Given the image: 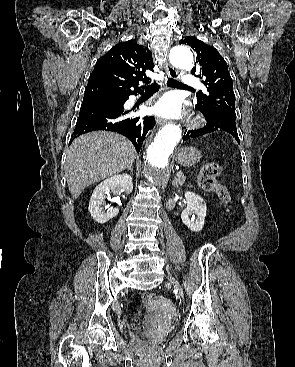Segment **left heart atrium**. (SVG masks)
<instances>
[{
    "mask_svg": "<svg viewBox=\"0 0 295 367\" xmlns=\"http://www.w3.org/2000/svg\"><path fill=\"white\" fill-rule=\"evenodd\" d=\"M154 112L165 118H177L182 113L181 100L176 94H167L157 102Z\"/></svg>",
    "mask_w": 295,
    "mask_h": 367,
    "instance_id": "1",
    "label": "left heart atrium"
}]
</instances>
